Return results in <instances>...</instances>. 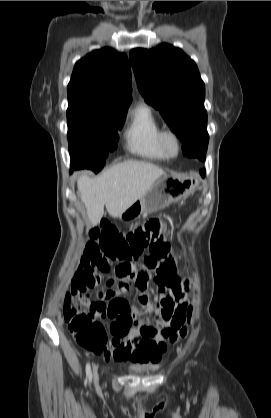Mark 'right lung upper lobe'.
Segmentation results:
<instances>
[{
  "label": "right lung upper lobe",
  "instance_id": "cb5924a9",
  "mask_svg": "<svg viewBox=\"0 0 271 418\" xmlns=\"http://www.w3.org/2000/svg\"><path fill=\"white\" fill-rule=\"evenodd\" d=\"M131 71L124 53L93 51L74 67L67 87L69 106L126 113L131 97Z\"/></svg>",
  "mask_w": 271,
  "mask_h": 418
}]
</instances>
